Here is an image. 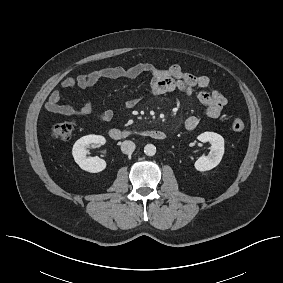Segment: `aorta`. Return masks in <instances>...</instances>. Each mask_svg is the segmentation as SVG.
<instances>
[{
  "label": "aorta",
  "mask_w": 283,
  "mask_h": 283,
  "mask_svg": "<svg viewBox=\"0 0 283 283\" xmlns=\"http://www.w3.org/2000/svg\"><path fill=\"white\" fill-rule=\"evenodd\" d=\"M144 153H145L147 156H154L155 153H156V147H155L153 144H147V145L144 147Z\"/></svg>",
  "instance_id": "1"
}]
</instances>
